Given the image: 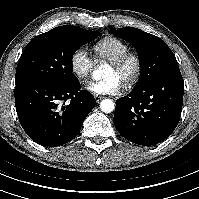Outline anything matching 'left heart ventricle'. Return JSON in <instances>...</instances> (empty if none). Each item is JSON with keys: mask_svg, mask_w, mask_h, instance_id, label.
<instances>
[{"mask_svg": "<svg viewBox=\"0 0 199 199\" xmlns=\"http://www.w3.org/2000/svg\"><path fill=\"white\" fill-rule=\"evenodd\" d=\"M132 70H133V66L131 63H129L123 69H116L112 65H110L106 71L105 76L107 78L111 76H115L123 82L126 79V77L132 72Z\"/></svg>", "mask_w": 199, "mask_h": 199, "instance_id": "b2bd125f", "label": "left heart ventricle"}]
</instances>
